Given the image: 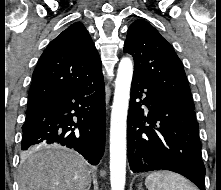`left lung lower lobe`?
<instances>
[{
    "instance_id": "0a47b994",
    "label": "left lung lower lobe",
    "mask_w": 221,
    "mask_h": 190,
    "mask_svg": "<svg viewBox=\"0 0 221 190\" xmlns=\"http://www.w3.org/2000/svg\"><path fill=\"white\" fill-rule=\"evenodd\" d=\"M142 105L148 106V111ZM198 128L194 109L178 104L158 87L133 75L127 143L134 173L170 170L205 190Z\"/></svg>"
}]
</instances>
